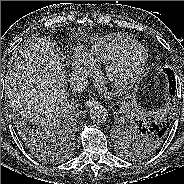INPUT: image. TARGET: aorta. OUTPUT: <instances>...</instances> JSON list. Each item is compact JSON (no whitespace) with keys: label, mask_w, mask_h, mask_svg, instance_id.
<instances>
[{"label":"aorta","mask_w":184,"mask_h":184,"mask_svg":"<svg viewBox=\"0 0 184 184\" xmlns=\"http://www.w3.org/2000/svg\"><path fill=\"white\" fill-rule=\"evenodd\" d=\"M90 118L95 123H104L108 118V111L102 105H94L90 109Z\"/></svg>","instance_id":"aorta-1"}]
</instances>
